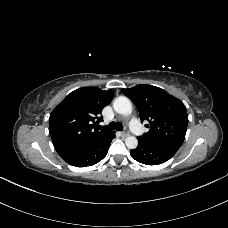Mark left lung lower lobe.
I'll return each mask as SVG.
<instances>
[{
    "label": "left lung lower lobe",
    "mask_w": 228,
    "mask_h": 228,
    "mask_svg": "<svg viewBox=\"0 0 228 228\" xmlns=\"http://www.w3.org/2000/svg\"><path fill=\"white\" fill-rule=\"evenodd\" d=\"M138 147L130 151V155L136 161L146 165H158L168 161L178 151L179 147L148 143L138 139Z\"/></svg>",
    "instance_id": "0a47b994"
}]
</instances>
